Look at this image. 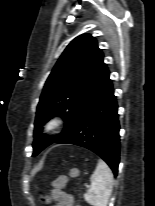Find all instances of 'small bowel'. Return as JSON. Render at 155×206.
I'll return each mask as SVG.
<instances>
[{
    "label": "small bowel",
    "instance_id": "c3829d8e",
    "mask_svg": "<svg viewBox=\"0 0 155 206\" xmlns=\"http://www.w3.org/2000/svg\"><path fill=\"white\" fill-rule=\"evenodd\" d=\"M55 188H56V193H55L56 204H55V206H78L75 204L71 195L60 191L58 187H55Z\"/></svg>",
    "mask_w": 155,
    "mask_h": 206
}]
</instances>
